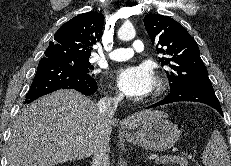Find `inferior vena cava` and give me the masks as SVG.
Listing matches in <instances>:
<instances>
[{"instance_id":"1","label":"inferior vena cava","mask_w":231,"mask_h":166,"mask_svg":"<svg viewBox=\"0 0 231 166\" xmlns=\"http://www.w3.org/2000/svg\"><path fill=\"white\" fill-rule=\"evenodd\" d=\"M119 100V96L104 97L100 99V101L97 103V108L101 115L103 117H112L116 111ZM109 153V146L99 149V151L93 157L92 166H109Z\"/></svg>"}]
</instances>
